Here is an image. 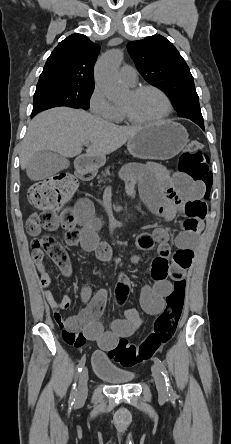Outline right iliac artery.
Returning <instances> with one entry per match:
<instances>
[{
	"label": "right iliac artery",
	"instance_id": "obj_1",
	"mask_svg": "<svg viewBox=\"0 0 231 444\" xmlns=\"http://www.w3.org/2000/svg\"><path fill=\"white\" fill-rule=\"evenodd\" d=\"M85 360H86V357H85V355H84V356L81 358V360L79 361L78 365H77V376L81 373V371H82V369H83V367H84V364H85ZM75 386H76V383L73 384V387H72V390H71V394H70V400H69V402H70L71 404H73L74 401H75V396H76Z\"/></svg>",
	"mask_w": 231,
	"mask_h": 444
}]
</instances>
